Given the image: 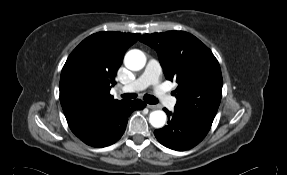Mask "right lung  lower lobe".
<instances>
[{
  "label": "right lung lower lobe",
  "mask_w": 287,
  "mask_h": 175,
  "mask_svg": "<svg viewBox=\"0 0 287 175\" xmlns=\"http://www.w3.org/2000/svg\"><path fill=\"white\" fill-rule=\"evenodd\" d=\"M145 106L146 104L139 99L123 101L112 107L96 123L74 134L92 147L100 148L112 145L123 135L130 114L136 109L145 108Z\"/></svg>",
  "instance_id": "1"
}]
</instances>
